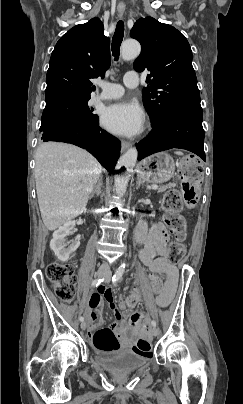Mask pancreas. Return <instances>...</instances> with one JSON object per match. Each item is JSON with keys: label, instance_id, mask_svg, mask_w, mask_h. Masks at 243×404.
I'll list each match as a JSON object with an SVG mask.
<instances>
[{"label": "pancreas", "instance_id": "obj_1", "mask_svg": "<svg viewBox=\"0 0 243 404\" xmlns=\"http://www.w3.org/2000/svg\"><path fill=\"white\" fill-rule=\"evenodd\" d=\"M171 186H173V184H167V186H160V188H158V192H166V190H168V188H171Z\"/></svg>", "mask_w": 243, "mask_h": 404}]
</instances>
